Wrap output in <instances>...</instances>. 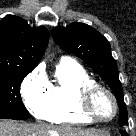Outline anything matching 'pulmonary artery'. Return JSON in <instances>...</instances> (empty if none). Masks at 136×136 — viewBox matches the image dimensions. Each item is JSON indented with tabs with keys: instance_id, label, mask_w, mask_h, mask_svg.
I'll return each instance as SVG.
<instances>
[{
	"instance_id": "obj_1",
	"label": "pulmonary artery",
	"mask_w": 136,
	"mask_h": 136,
	"mask_svg": "<svg viewBox=\"0 0 136 136\" xmlns=\"http://www.w3.org/2000/svg\"><path fill=\"white\" fill-rule=\"evenodd\" d=\"M62 60H72V59L69 57H62Z\"/></svg>"
}]
</instances>
